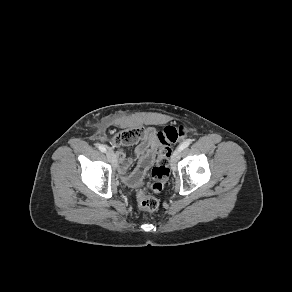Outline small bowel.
I'll use <instances>...</instances> for the list:
<instances>
[{"mask_svg":"<svg viewBox=\"0 0 292 292\" xmlns=\"http://www.w3.org/2000/svg\"><path fill=\"white\" fill-rule=\"evenodd\" d=\"M159 144L156 131L153 128H148L143 139L134 149V157L138 159V162L130 177L140 181L145 176L146 172L155 162ZM116 146V158L120 171L122 174L126 175L129 167L134 161V158L132 156H128L122 149L121 145Z\"/></svg>","mask_w":292,"mask_h":292,"instance_id":"1","label":"small bowel"}]
</instances>
